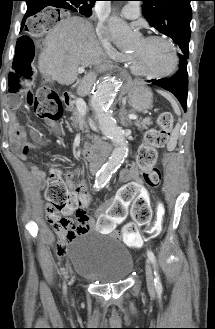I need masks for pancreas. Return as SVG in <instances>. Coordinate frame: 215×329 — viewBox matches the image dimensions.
Listing matches in <instances>:
<instances>
[{
  "label": "pancreas",
  "mask_w": 215,
  "mask_h": 329,
  "mask_svg": "<svg viewBox=\"0 0 215 329\" xmlns=\"http://www.w3.org/2000/svg\"><path fill=\"white\" fill-rule=\"evenodd\" d=\"M70 110L72 111V127L75 128L76 130H81L83 131L85 128H87V123L85 119L81 116L77 108L74 107V105L70 106ZM135 126L138 127V129H148L150 125H152V121L150 119H143V120H138L134 123Z\"/></svg>",
  "instance_id": "obj_1"
}]
</instances>
